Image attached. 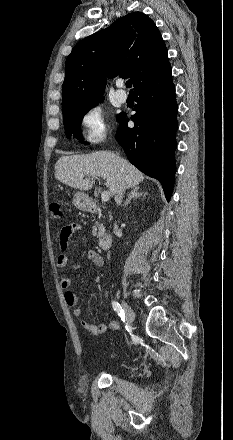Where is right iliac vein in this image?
I'll return each instance as SVG.
<instances>
[{
	"label": "right iliac vein",
	"mask_w": 233,
	"mask_h": 440,
	"mask_svg": "<svg viewBox=\"0 0 233 440\" xmlns=\"http://www.w3.org/2000/svg\"><path fill=\"white\" fill-rule=\"evenodd\" d=\"M122 307L124 309L125 317L129 324H132L135 320V314L132 308L124 301H122Z\"/></svg>",
	"instance_id": "obj_1"
}]
</instances>
